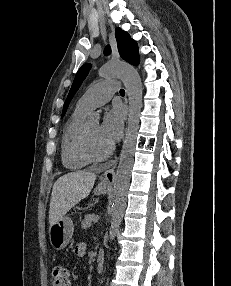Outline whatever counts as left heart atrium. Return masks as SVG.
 Segmentation results:
<instances>
[{
    "instance_id": "obj_1",
    "label": "left heart atrium",
    "mask_w": 231,
    "mask_h": 286,
    "mask_svg": "<svg viewBox=\"0 0 231 286\" xmlns=\"http://www.w3.org/2000/svg\"><path fill=\"white\" fill-rule=\"evenodd\" d=\"M124 111L120 107H115L108 111L99 127L102 139L112 146L122 136L123 132Z\"/></svg>"
}]
</instances>
